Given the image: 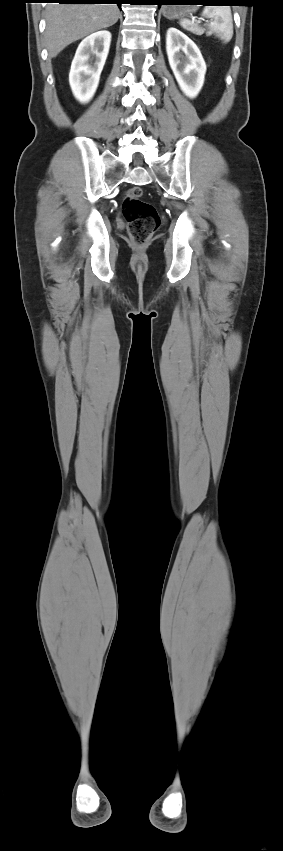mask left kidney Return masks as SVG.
<instances>
[{
  "label": "left kidney",
  "instance_id": "1",
  "mask_svg": "<svg viewBox=\"0 0 283 851\" xmlns=\"http://www.w3.org/2000/svg\"><path fill=\"white\" fill-rule=\"evenodd\" d=\"M166 51L170 67L182 92L195 98L200 92L206 73V64L196 44L176 28H169Z\"/></svg>",
  "mask_w": 283,
  "mask_h": 851
}]
</instances>
